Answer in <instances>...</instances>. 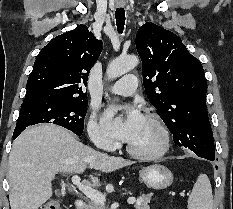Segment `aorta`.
<instances>
[{"mask_svg":"<svg viewBox=\"0 0 233 209\" xmlns=\"http://www.w3.org/2000/svg\"><path fill=\"white\" fill-rule=\"evenodd\" d=\"M138 62V58L134 55L117 58L108 65L107 76L110 79L120 77L136 67Z\"/></svg>","mask_w":233,"mask_h":209,"instance_id":"762f6f07","label":"aorta"}]
</instances>
